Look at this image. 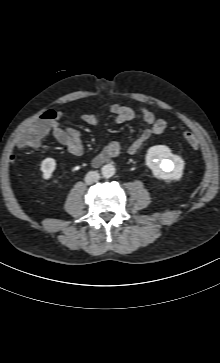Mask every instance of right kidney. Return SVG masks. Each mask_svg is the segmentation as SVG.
<instances>
[{
	"label": "right kidney",
	"mask_w": 220,
	"mask_h": 363,
	"mask_svg": "<svg viewBox=\"0 0 220 363\" xmlns=\"http://www.w3.org/2000/svg\"><path fill=\"white\" fill-rule=\"evenodd\" d=\"M56 168V162L53 158H46L41 163V171L43 172L44 179H50L53 171Z\"/></svg>",
	"instance_id": "right-kidney-1"
}]
</instances>
